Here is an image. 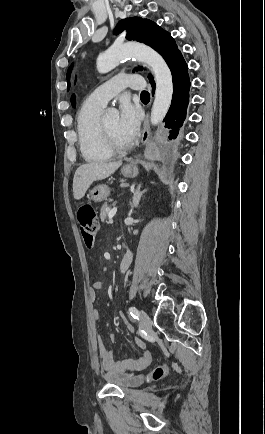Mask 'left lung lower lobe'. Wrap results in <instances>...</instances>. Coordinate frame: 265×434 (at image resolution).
<instances>
[{"mask_svg":"<svg viewBox=\"0 0 265 434\" xmlns=\"http://www.w3.org/2000/svg\"><path fill=\"white\" fill-rule=\"evenodd\" d=\"M173 79V97L169 111L164 119L167 128H170V146L178 147L185 141L186 110L189 104L190 79L188 66L182 56L178 55L170 66ZM153 91L155 85H152Z\"/></svg>","mask_w":265,"mask_h":434,"instance_id":"obj_1","label":"left lung lower lobe"}]
</instances>
